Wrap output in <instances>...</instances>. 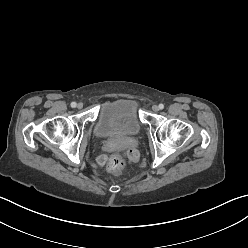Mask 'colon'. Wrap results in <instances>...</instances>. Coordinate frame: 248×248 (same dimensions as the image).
Here are the masks:
<instances>
[{
  "instance_id": "obj_1",
  "label": "colon",
  "mask_w": 248,
  "mask_h": 248,
  "mask_svg": "<svg viewBox=\"0 0 248 248\" xmlns=\"http://www.w3.org/2000/svg\"><path fill=\"white\" fill-rule=\"evenodd\" d=\"M95 162L100 167L107 164L108 171L113 175H120L124 168V159L119 154L112 155L109 160L105 155L100 154L96 157Z\"/></svg>"
}]
</instances>
